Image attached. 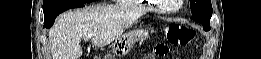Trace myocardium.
<instances>
[{"label":"myocardium","instance_id":"myocardium-1","mask_svg":"<svg viewBox=\"0 0 261 59\" xmlns=\"http://www.w3.org/2000/svg\"><path fill=\"white\" fill-rule=\"evenodd\" d=\"M151 3L154 4V6H156L157 10H159L160 12L162 13H173V12H176L178 10H180L183 6V3H184V0H180L179 2V5L177 8H174V9H168V8H162V7H159L156 3L157 1H150Z\"/></svg>","mask_w":261,"mask_h":59}]
</instances>
